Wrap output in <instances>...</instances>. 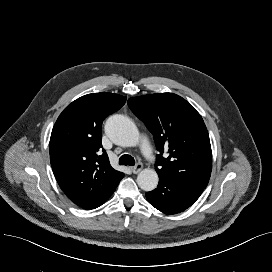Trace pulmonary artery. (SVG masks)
Returning <instances> with one entry per match:
<instances>
[{
    "mask_svg": "<svg viewBox=\"0 0 272 272\" xmlns=\"http://www.w3.org/2000/svg\"><path fill=\"white\" fill-rule=\"evenodd\" d=\"M146 147H147L148 151L150 152L151 150H150L149 145H148L147 142H146Z\"/></svg>",
    "mask_w": 272,
    "mask_h": 272,
    "instance_id": "1",
    "label": "pulmonary artery"
}]
</instances>
